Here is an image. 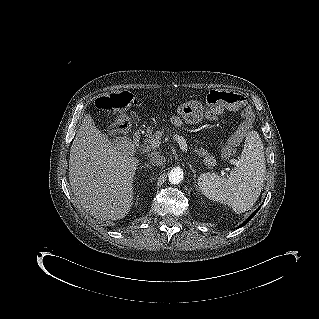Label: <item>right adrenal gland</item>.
Returning <instances> with one entry per match:
<instances>
[{
    "mask_svg": "<svg viewBox=\"0 0 319 319\" xmlns=\"http://www.w3.org/2000/svg\"><path fill=\"white\" fill-rule=\"evenodd\" d=\"M143 168L147 167V168H151V166L149 164H145L142 166Z\"/></svg>",
    "mask_w": 319,
    "mask_h": 319,
    "instance_id": "1",
    "label": "right adrenal gland"
}]
</instances>
